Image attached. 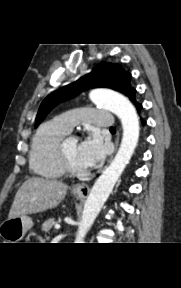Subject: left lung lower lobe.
<instances>
[{"instance_id": "obj_1", "label": "left lung lower lobe", "mask_w": 181, "mask_h": 288, "mask_svg": "<svg viewBox=\"0 0 181 288\" xmlns=\"http://www.w3.org/2000/svg\"><path fill=\"white\" fill-rule=\"evenodd\" d=\"M130 100L135 104V106L137 107L138 112L141 110L142 105L139 104L136 100H135V94L130 98ZM143 125L146 123L144 120H142Z\"/></svg>"}]
</instances>
